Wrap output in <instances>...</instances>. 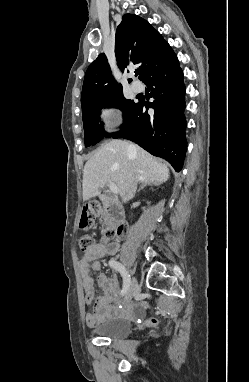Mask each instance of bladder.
<instances>
[{
  "instance_id": "bladder-1",
  "label": "bladder",
  "mask_w": 249,
  "mask_h": 382,
  "mask_svg": "<svg viewBox=\"0 0 249 382\" xmlns=\"http://www.w3.org/2000/svg\"><path fill=\"white\" fill-rule=\"evenodd\" d=\"M131 330L132 324L128 319H111L98 324L93 333L107 339H125Z\"/></svg>"
}]
</instances>
